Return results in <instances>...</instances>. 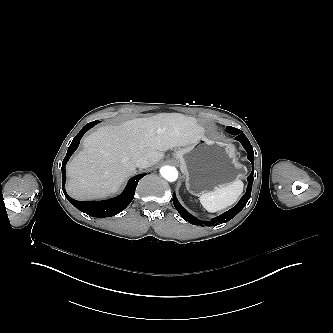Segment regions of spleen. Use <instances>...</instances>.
<instances>
[{
	"mask_svg": "<svg viewBox=\"0 0 333 333\" xmlns=\"http://www.w3.org/2000/svg\"><path fill=\"white\" fill-rule=\"evenodd\" d=\"M243 189L244 183L237 179L214 191L203 193L199 198L200 203L208 212L221 211L235 204L243 193Z\"/></svg>",
	"mask_w": 333,
	"mask_h": 333,
	"instance_id": "obj_1",
	"label": "spleen"
}]
</instances>
